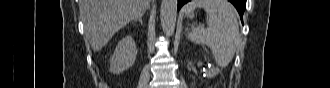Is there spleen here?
I'll use <instances>...</instances> for the list:
<instances>
[{"label":"spleen","instance_id":"1","mask_svg":"<svg viewBox=\"0 0 330 88\" xmlns=\"http://www.w3.org/2000/svg\"><path fill=\"white\" fill-rule=\"evenodd\" d=\"M196 8H203L206 12L208 27H196L188 33V38L194 43L207 45L218 66L226 67L240 42L234 7L227 0H193L185 14L188 15Z\"/></svg>","mask_w":330,"mask_h":88}]
</instances>
